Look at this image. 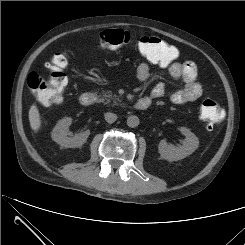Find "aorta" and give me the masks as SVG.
<instances>
[{
	"label": "aorta",
	"mask_w": 245,
	"mask_h": 245,
	"mask_svg": "<svg viewBox=\"0 0 245 245\" xmlns=\"http://www.w3.org/2000/svg\"><path fill=\"white\" fill-rule=\"evenodd\" d=\"M140 120L137 116L131 115L127 118V125L131 128H135L139 125Z\"/></svg>",
	"instance_id": "1"
}]
</instances>
